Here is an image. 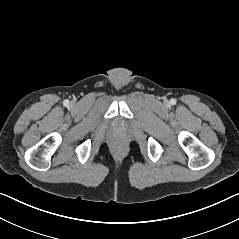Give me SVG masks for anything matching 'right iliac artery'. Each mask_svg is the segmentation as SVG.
<instances>
[{"label": "right iliac artery", "mask_w": 239, "mask_h": 239, "mask_svg": "<svg viewBox=\"0 0 239 239\" xmlns=\"http://www.w3.org/2000/svg\"><path fill=\"white\" fill-rule=\"evenodd\" d=\"M63 103H64L65 106L69 105V101L68 100H65Z\"/></svg>", "instance_id": "obj_1"}]
</instances>
